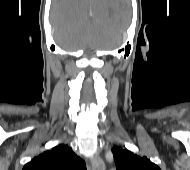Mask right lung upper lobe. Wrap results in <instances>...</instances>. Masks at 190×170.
Segmentation results:
<instances>
[{"mask_svg": "<svg viewBox=\"0 0 190 170\" xmlns=\"http://www.w3.org/2000/svg\"><path fill=\"white\" fill-rule=\"evenodd\" d=\"M22 170H84V161L70 147L60 144L34 157Z\"/></svg>", "mask_w": 190, "mask_h": 170, "instance_id": "right-lung-upper-lobe-1", "label": "right lung upper lobe"}]
</instances>
